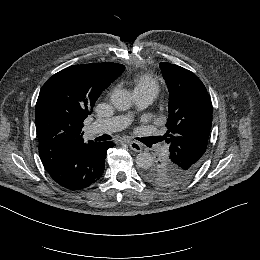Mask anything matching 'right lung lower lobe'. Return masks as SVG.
Masks as SVG:
<instances>
[{
	"label": "right lung lower lobe",
	"instance_id": "obj_1",
	"mask_svg": "<svg viewBox=\"0 0 260 260\" xmlns=\"http://www.w3.org/2000/svg\"><path fill=\"white\" fill-rule=\"evenodd\" d=\"M113 146L111 141H89L47 172L56 183L66 189L76 191L87 188L102 176L107 149Z\"/></svg>",
	"mask_w": 260,
	"mask_h": 260
}]
</instances>
